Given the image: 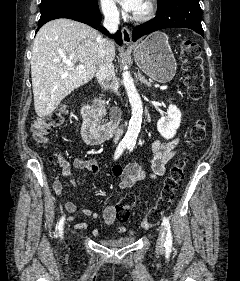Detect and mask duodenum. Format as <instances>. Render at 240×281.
<instances>
[{"mask_svg":"<svg viewBox=\"0 0 240 281\" xmlns=\"http://www.w3.org/2000/svg\"><path fill=\"white\" fill-rule=\"evenodd\" d=\"M81 113L83 117L81 134L87 144H100L116 133L118 123L113 121L103 125H98L89 104H84L82 106Z\"/></svg>","mask_w":240,"mask_h":281,"instance_id":"duodenum-1","label":"duodenum"}]
</instances>
